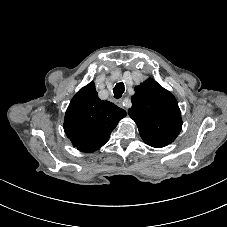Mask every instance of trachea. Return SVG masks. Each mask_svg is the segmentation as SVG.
<instances>
[{
	"instance_id": "1",
	"label": "trachea",
	"mask_w": 227,
	"mask_h": 227,
	"mask_svg": "<svg viewBox=\"0 0 227 227\" xmlns=\"http://www.w3.org/2000/svg\"><path fill=\"white\" fill-rule=\"evenodd\" d=\"M125 91V86L123 82L117 83L113 89L114 98L118 99L122 96Z\"/></svg>"
}]
</instances>
